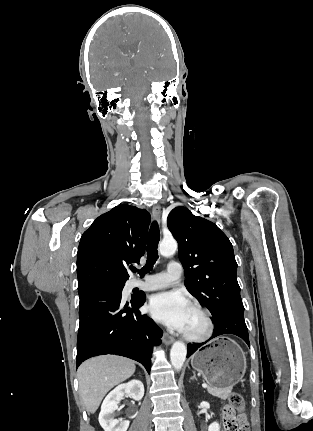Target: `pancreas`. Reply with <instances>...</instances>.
<instances>
[{
  "label": "pancreas",
  "instance_id": "pancreas-1",
  "mask_svg": "<svg viewBox=\"0 0 313 431\" xmlns=\"http://www.w3.org/2000/svg\"><path fill=\"white\" fill-rule=\"evenodd\" d=\"M207 391L215 397H218L222 400H226L228 398V396L230 395L232 388H226V389L219 390V389H215L212 387H208Z\"/></svg>",
  "mask_w": 313,
  "mask_h": 431
}]
</instances>
